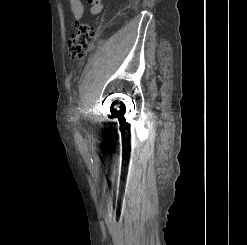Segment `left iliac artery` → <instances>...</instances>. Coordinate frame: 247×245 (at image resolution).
<instances>
[{
    "label": "left iliac artery",
    "instance_id": "left-iliac-artery-1",
    "mask_svg": "<svg viewBox=\"0 0 247 245\" xmlns=\"http://www.w3.org/2000/svg\"><path fill=\"white\" fill-rule=\"evenodd\" d=\"M75 118H76V120H78V118H79V117H78V115H77V114H76V117H75Z\"/></svg>",
    "mask_w": 247,
    "mask_h": 245
}]
</instances>
